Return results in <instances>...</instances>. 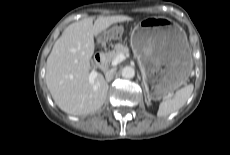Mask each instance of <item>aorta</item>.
<instances>
[{
  "instance_id": "obj_1",
  "label": "aorta",
  "mask_w": 230,
  "mask_h": 155,
  "mask_svg": "<svg viewBox=\"0 0 230 155\" xmlns=\"http://www.w3.org/2000/svg\"><path fill=\"white\" fill-rule=\"evenodd\" d=\"M122 77L126 79H131L135 76V69L131 66H126L122 69Z\"/></svg>"
}]
</instances>
